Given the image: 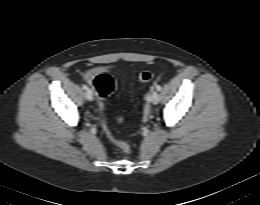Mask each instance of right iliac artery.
Returning a JSON list of instances; mask_svg holds the SVG:
<instances>
[{
	"label": "right iliac artery",
	"mask_w": 260,
	"mask_h": 205,
	"mask_svg": "<svg viewBox=\"0 0 260 205\" xmlns=\"http://www.w3.org/2000/svg\"><path fill=\"white\" fill-rule=\"evenodd\" d=\"M83 89H84V90H88L89 88H88L87 85H83Z\"/></svg>",
	"instance_id": "82829eb1"
}]
</instances>
